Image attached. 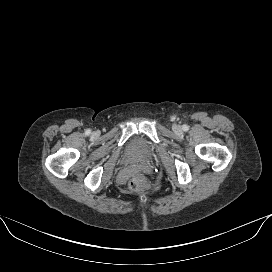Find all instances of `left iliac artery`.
<instances>
[{
  "instance_id": "1",
  "label": "left iliac artery",
  "mask_w": 272,
  "mask_h": 272,
  "mask_svg": "<svg viewBox=\"0 0 272 272\" xmlns=\"http://www.w3.org/2000/svg\"><path fill=\"white\" fill-rule=\"evenodd\" d=\"M183 130L184 131H188L189 130V127L187 125H183Z\"/></svg>"
}]
</instances>
